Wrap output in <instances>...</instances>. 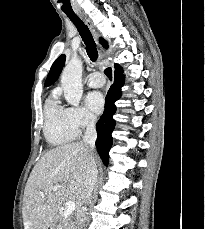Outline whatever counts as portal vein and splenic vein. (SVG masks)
Wrapping results in <instances>:
<instances>
[{"label":"portal vein and splenic vein","mask_w":205,"mask_h":229,"mask_svg":"<svg viewBox=\"0 0 205 229\" xmlns=\"http://www.w3.org/2000/svg\"><path fill=\"white\" fill-rule=\"evenodd\" d=\"M59 187H60L59 185H55L52 187V190L57 191ZM74 210H75V201L74 200H68L65 203V209H64V213H63L64 219L68 218L73 213Z\"/></svg>","instance_id":"portal-vein-and-splenic-vein-1"}]
</instances>
